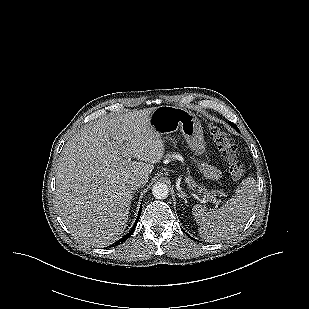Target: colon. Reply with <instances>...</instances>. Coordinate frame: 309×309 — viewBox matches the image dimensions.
<instances>
[{"instance_id":"colon-1","label":"colon","mask_w":309,"mask_h":309,"mask_svg":"<svg viewBox=\"0 0 309 309\" xmlns=\"http://www.w3.org/2000/svg\"><path fill=\"white\" fill-rule=\"evenodd\" d=\"M209 133L216 147L225 156L231 178L234 181L240 180L244 174V167L232 139L215 125L209 127Z\"/></svg>"}]
</instances>
